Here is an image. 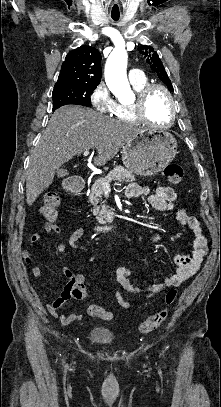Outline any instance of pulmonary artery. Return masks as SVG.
Here are the masks:
<instances>
[{
	"mask_svg": "<svg viewBox=\"0 0 221 407\" xmlns=\"http://www.w3.org/2000/svg\"><path fill=\"white\" fill-rule=\"evenodd\" d=\"M128 77L130 82H137L144 79V73L138 68H133L129 71Z\"/></svg>",
	"mask_w": 221,
	"mask_h": 407,
	"instance_id": "1",
	"label": "pulmonary artery"
}]
</instances>
